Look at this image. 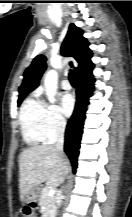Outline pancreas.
Instances as JSON below:
<instances>
[{
	"label": "pancreas",
	"mask_w": 132,
	"mask_h": 217,
	"mask_svg": "<svg viewBox=\"0 0 132 217\" xmlns=\"http://www.w3.org/2000/svg\"><path fill=\"white\" fill-rule=\"evenodd\" d=\"M57 199L56 196H50L49 195V187L46 186L42 189L40 199H39V205L42 208L43 215L42 217H54L56 209H57Z\"/></svg>",
	"instance_id": "1"
}]
</instances>
